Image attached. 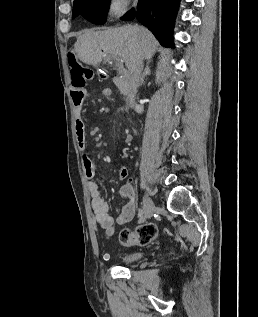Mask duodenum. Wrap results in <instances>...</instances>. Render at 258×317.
I'll use <instances>...</instances> for the list:
<instances>
[{
    "label": "duodenum",
    "mask_w": 258,
    "mask_h": 317,
    "mask_svg": "<svg viewBox=\"0 0 258 317\" xmlns=\"http://www.w3.org/2000/svg\"><path fill=\"white\" fill-rule=\"evenodd\" d=\"M86 97V89L83 85L73 83L71 87L72 102L76 107H80Z\"/></svg>",
    "instance_id": "1"
}]
</instances>
